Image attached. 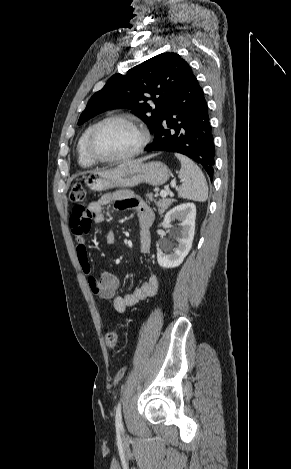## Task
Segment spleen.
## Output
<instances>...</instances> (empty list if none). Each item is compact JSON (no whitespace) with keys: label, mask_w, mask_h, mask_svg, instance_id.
I'll list each match as a JSON object with an SVG mask.
<instances>
[{"label":"spleen","mask_w":291,"mask_h":469,"mask_svg":"<svg viewBox=\"0 0 291 469\" xmlns=\"http://www.w3.org/2000/svg\"><path fill=\"white\" fill-rule=\"evenodd\" d=\"M181 162L179 178L182 182L178 189V196L198 202H205L208 198V186L203 172L189 158L175 154Z\"/></svg>","instance_id":"3e777b00"}]
</instances>
